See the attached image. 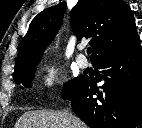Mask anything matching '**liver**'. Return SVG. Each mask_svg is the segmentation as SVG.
Here are the masks:
<instances>
[{
    "mask_svg": "<svg viewBox=\"0 0 142 128\" xmlns=\"http://www.w3.org/2000/svg\"><path fill=\"white\" fill-rule=\"evenodd\" d=\"M15 128H88L76 116H68L63 111H28L17 121Z\"/></svg>",
    "mask_w": 142,
    "mask_h": 128,
    "instance_id": "1",
    "label": "liver"
}]
</instances>
